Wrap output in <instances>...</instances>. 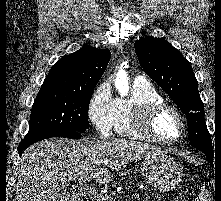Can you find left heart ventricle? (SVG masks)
Segmentation results:
<instances>
[{
    "label": "left heart ventricle",
    "instance_id": "left-heart-ventricle-1",
    "mask_svg": "<svg viewBox=\"0 0 221 201\" xmlns=\"http://www.w3.org/2000/svg\"><path fill=\"white\" fill-rule=\"evenodd\" d=\"M154 131L162 138H175L180 133V125L176 117L171 113L161 114L154 122Z\"/></svg>",
    "mask_w": 221,
    "mask_h": 201
}]
</instances>
